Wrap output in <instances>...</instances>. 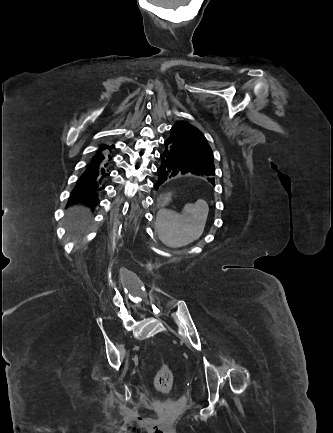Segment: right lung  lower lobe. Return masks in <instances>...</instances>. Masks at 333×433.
Returning <instances> with one entry per match:
<instances>
[{
	"instance_id": "1",
	"label": "right lung lower lobe",
	"mask_w": 333,
	"mask_h": 433,
	"mask_svg": "<svg viewBox=\"0 0 333 433\" xmlns=\"http://www.w3.org/2000/svg\"><path fill=\"white\" fill-rule=\"evenodd\" d=\"M112 146L101 145L97 153L86 166L84 173L79 178L72 191L70 201L81 202L94 208L100 203L98 194L105 188L104 182L110 175L109 164L112 156L109 151Z\"/></svg>"
}]
</instances>
